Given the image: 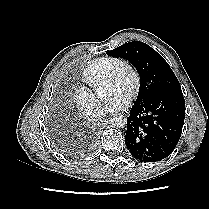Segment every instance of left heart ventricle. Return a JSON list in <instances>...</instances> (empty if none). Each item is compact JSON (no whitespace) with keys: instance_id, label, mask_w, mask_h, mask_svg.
Wrapping results in <instances>:
<instances>
[{"instance_id":"1","label":"left heart ventricle","mask_w":209,"mask_h":209,"mask_svg":"<svg viewBox=\"0 0 209 209\" xmlns=\"http://www.w3.org/2000/svg\"><path fill=\"white\" fill-rule=\"evenodd\" d=\"M131 82V74L129 71L123 70L116 81L105 84V93L107 96L114 95L116 92H121L128 95V89Z\"/></svg>"}]
</instances>
